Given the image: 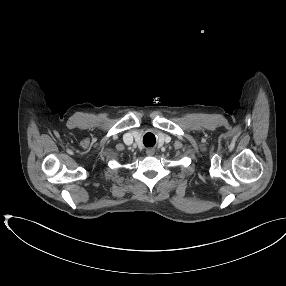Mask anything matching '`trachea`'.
<instances>
[{
    "label": "trachea",
    "mask_w": 286,
    "mask_h": 286,
    "mask_svg": "<svg viewBox=\"0 0 286 286\" xmlns=\"http://www.w3.org/2000/svg\"><path fill=\"white\" fill-rule=\"evenodd\" d=\"M156 142L155 136L152 133H147L143 137V143L146 147L154 146Z\"/></svg>",
    "instance_id": "obj_1"
}]
</instances>
